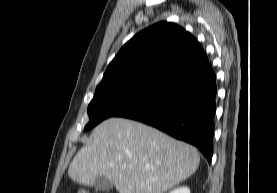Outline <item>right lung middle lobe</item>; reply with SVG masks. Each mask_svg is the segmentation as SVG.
Here are the masks:
<instances>
[{"instance_id": "right-lung-middle-lobe-1", "label": "right lung middle lobe", "mask_w": 277, "mask_h": 193, "mask_svg": "<svg viewBox=\"0 0 277 193\" xmlns=\"http://www.w3.org/2000/svg\"><path fill=\"white\" fill-rule=\"evenodd\" d=\"M155 90L138 87H114L97 89L88 106L89 123L85 131L109 117H114L134 106Z\"/></svg>"}]
</instances>
